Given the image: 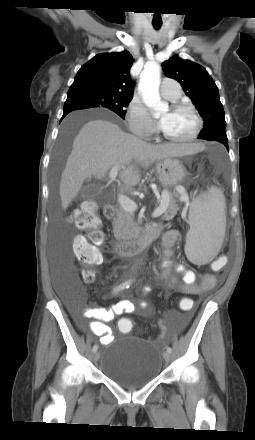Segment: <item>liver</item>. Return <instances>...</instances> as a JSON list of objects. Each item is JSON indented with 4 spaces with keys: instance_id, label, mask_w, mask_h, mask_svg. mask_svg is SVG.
Listing matches in <instances>:
<instances>
[{
    "instance_id": "liver-1",
    "label": "liver",
    "mask_w": 255,
    "mask_h": 440,
    "mask_svg": "<svg viewBox=\"0 0 255 440\" xmlns=\"http://www.w3.org/2000/svg\"><path fill=\"white\" fill-rule=\"evenodd\" d=\"M201 143H165L153 145L125 133L110 121H88L73 141L72 151L62 172L59 193L66 209L76 197L85 180L92 176L102 179L110 169L120 165L119 177L126 186L140 181L136 164H150L170 157H182L202 151Z\"/></svg>"
}]
</instances>
